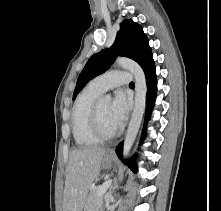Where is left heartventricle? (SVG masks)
Here are the masks:
<instances>
[{
  "label": "left heart ventricle",
  "mask_w": 221,
  "mask_h": 211,
  "mask_svg": "<svg viewBox=\"0 0 221 211\" xmlns=\"http://www.w3.org/2000/svg\"><path fill=\"white\" fill-rule=\"evenodd\" d=\"M109 102L107 101H100L99 102V117L102 128L107 133H112L117 129L113 125L110 116H109Z\"/></svg>",
  "instance_id": "b2bd125f"
}]
</instances>
